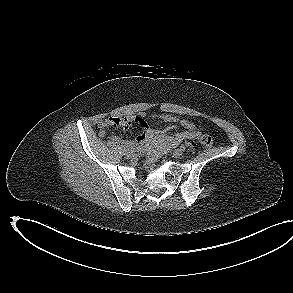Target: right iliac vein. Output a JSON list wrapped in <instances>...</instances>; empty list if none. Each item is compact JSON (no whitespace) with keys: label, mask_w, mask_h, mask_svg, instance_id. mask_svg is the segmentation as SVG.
I'll return each instance as SVG.
<instances>
[{"label":"right iliac vein","mask_w":293,"mask_h":293,"mask_svg":"<svg viewBox=\"0 0 293 293\" xmlns=\"http://www.w3.org/2000/svg\"><path fill=\"white\" fill-rule=\"evenodd\" d=\"M125 155L127 157H133L135 155V151L134 150H128L125 152Z\"/></svg>","instance_id":"right-iliac-vein-1"}]
</instances>
